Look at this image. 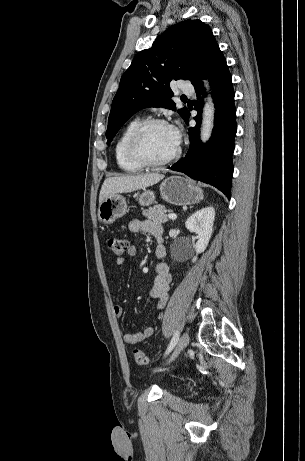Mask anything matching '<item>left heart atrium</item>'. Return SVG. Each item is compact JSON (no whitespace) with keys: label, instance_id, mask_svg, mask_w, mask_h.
I'll list each match as a JSON object with an SVG mask.
<instances>
[{"label":"left heart atrium","instance_id":"left-heart-atrium-1","mask_svg":"<svg viewBox=\"0 0 305 461\" xmlns=\"http://www.w3.org/2000/svg\"><path fill=\"white\" fill-rule=\"evenodd\" d=\"M170 133L174 142L179 145L181 139V133L178 127L171 125L169 126Z\"/></svg>","mask_w":305,"mask_h":461}]
</instances>
